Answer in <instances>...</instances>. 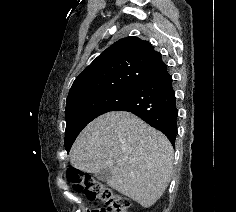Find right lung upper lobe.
I'll use <instances>...</instances> for the list:
<instances>
[{"mask_svg": "<svg viewBox=\"0 0 236 212\" xmlns=\"http://www.w3.org/2000/svg\"><path fill=\"white\" fill-rule=\"evenodd\" d=\"M161 54L138 37L118 40L102 52L75 79L66 104L93 94L135 87L162 63Z\"/></svg>", "mask_w": 236, "mask_h": 212, "instance_id": "cb5924a9", "label": "right lung upper lobe"}]
</instances>
